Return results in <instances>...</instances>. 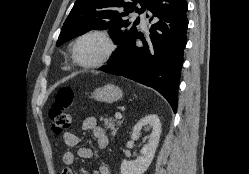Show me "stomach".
I'll list each match as a JSON object with an SVG mask.
<instances>
[{
	"instance_id": "stomach-1",
	"label": "stomach",
	"mask_w": 249,
	"mask_h": 174,
	"mask_svg": "<svg viewBox=\"0 0 249 174\" xmlns=\"http://www.w3.org/2000/svg\"><path fill=\"white\" fill-rule=\"evenodd\" d=\"M122 96V90L118 86L112 84H107L104 87L97 88L92 94V97L95 100L106 103L118 101Z\"/></svg>"
}]
</instances>
